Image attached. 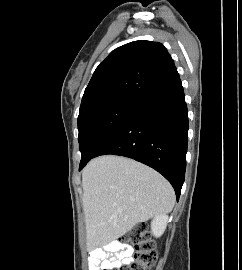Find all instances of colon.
Returning a JSON list of instances; mask_svg holds the SVG:
<instances>
[{"instance_id": "colon-1", "label": "colon", "mask_w": 242, "mask_h": 270, "mask_svg": "<svg viewBox=\"0 0 242 270\" xmlns=\"http://www.w3.org/2000/svg\"><path fill=\"white\" fill-rule=\"evenodd\" d=\"M119 242L131 245L134 249V256L129 263L120 265L117 270H151L155 265L157 261L156 245L143 225H136L124 234ZM95 270H100V266H96Z\"/></svg>"}]
</instances>
